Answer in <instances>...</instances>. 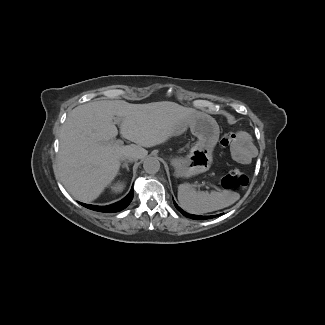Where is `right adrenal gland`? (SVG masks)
Listing matches in <instances>:
<instances>
[{"label":"right adrenal gland","mask_w":325,"mask_h":325,"mask_svg":"<svg viewBox=\"0 0 325 325\" xmlns=\"http://www.w3.org/2000/svg\"><path fill=\"white\" fill-rule=\"evenodd\" d=\"M122 168H126V170L129 171V166H128L127 163H124V164L122 165Z\"/></svg>","instance_id":"right-adrenal-gland-1"}]
</instances>
